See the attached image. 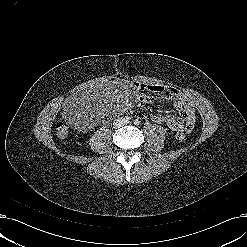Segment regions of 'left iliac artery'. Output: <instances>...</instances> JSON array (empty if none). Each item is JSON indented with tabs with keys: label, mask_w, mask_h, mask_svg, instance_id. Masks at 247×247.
Returning <instances> with one entry per match:
<instances>
[{
	"label": "left iliac artery",
	"mask_w": 247,
	"mask_h": 247,
	"mask_svg": "<svg viewBox=\"0 0 247 247\" xmlns=\"http://www.w3.org/2000/svg\"><path fill=\"white\" fill-rule=\"evenodd\" d=\"M134 123H135L136 125H139L140 122H139L138 120H136Z\"/></svg>",
	"instance_id": "left-iliac-artery-1"
}]
</instances>
